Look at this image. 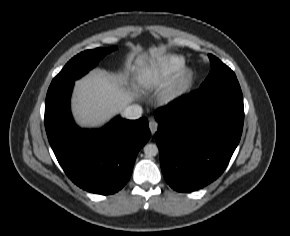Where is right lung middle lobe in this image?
<instances>
[{
	"label": "right lung middle lobe",
	"mask_w": 290,
	"mask_h": 236,
	"mask_svg": "<svg viewBox=\"0 0 290 236\" xmlns=\"http://www.w3.org/2000/svg\"><path fill=\"white\" fill-rule=\"evenodd\" d=\"M115 49V47H111L110 49L97 48L81 52L64 66L60 73L52 80L51 84L65 83L80 78L95 67L98 61L107 53Z\"/></svg>",
	"instance_id": "right-lung-middle-lobe-1"
}]
</instances>
